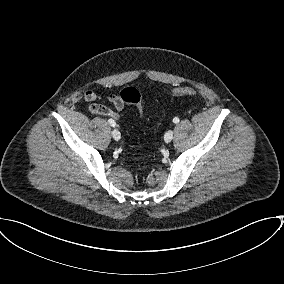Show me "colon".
Instances as JSON below:
<instances>
[{
	"mask_svg": "<svg viewBox=\"0 0 284 284\" xmlns=\"http://www.w3.org/2000/svg\"><path fill=\"white\" fill-rule=\"evenodd\" d=\"M171 94L174 96H194L196 95V91L190 87H183L173 90ZM120 98L124 103L135 105L140 113L143 112L141 96L137 89L133 87L123 89L120 93Z\"/></svg>",
	"mask_w": 284,
	"mask_h": 284,
	"instance_id": "5ec220e1",
	"label": "colon"
}]
</instances>
